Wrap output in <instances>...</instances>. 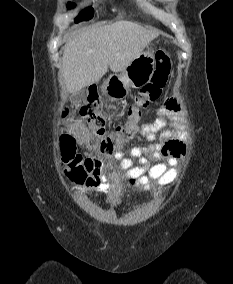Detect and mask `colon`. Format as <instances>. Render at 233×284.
Masks as SVG:
<instances>
[{"mask_svg": "<svg viewBox=\"0 0 233 284\" xmlns=\"http://www.w3.org/2000/svg\"><path fill=\"white\" fill-rule=\"evenodd\" d=\"M171 59L167 51L159 50L154 55V70L147 84L135 95L128 109V120L117 125L106 134L105 120L101 115V103L98 97H91L80 109V114L88 124L92 137L103 154L117 152L137 131L143 110L147 109L160 97L170 74ZM63 161L66 163L67 178L84 184L93 168V162L77 152L76 139L73 135L64 134L60 139Z\"/></svg>", "mask_w": 233, "mask_h": 284, "instance_id": "colon-1", "label": "colon"}]
</instances>
